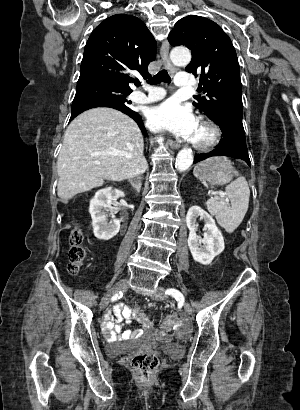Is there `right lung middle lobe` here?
Returning <instances> with one entry per match:
<instances>
[{"mask_svg": "<svg viewBox=\"0 0 300 410\" xmlns=\"http://www.w3.org/2000/svg\"><path fill=\"white\" fill-rule=\"evenodd\" d=\"M130 93L99 82H78L71 110L96 103H112L129 108L130 102L125 97Z\"/></svg>", "mask_w": 300, "mask_h": 410, "instance_id": "dd1d6c3e", "label": "right lung middle lobe"}]
</instances>
